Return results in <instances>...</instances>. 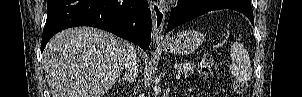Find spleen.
Listing matches in <instances>:
<instances>
[{
    "label": "spleen",
    "mask_w": 302,
    "mask_h": 97,
    "mask_svg": "<svg viewBox=\"0 0 302 97\" xmlns=\"http://www.w3.org/2000/svg\"><path fill=\"white\" fill-rule=\"evenodd\" d=\"M230 56L233 61L230 66L231 73L241 81H249L252 75L251 64L244 46L239 42L233 43Z\"/></svg>",
    "instance_id": "3e777b00"
}]
</instances>
